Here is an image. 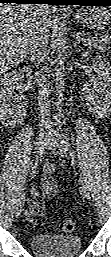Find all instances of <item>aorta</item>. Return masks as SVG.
Returning a JSON list of instances; mask_svg holds the SVG:
<instances>
[{
	"label": "aorta",
	"mask_w": 111,
	"mask_h": 257,
	"mask_svg": "<svg viewBox=\"0 0 111 257\" xmlns=\"http://www.w3.org/2000/svg\"><path fill=\"white\" fill-rule=\"evenodd\" d=\"M59 45L56 53V89L58 92L57 104L60 105L62 102V91L64 89V62L67 56L66 54V39L63 33L58 34Z\"/></svg>",
	"instance_id": "1"
}]
</instances>
